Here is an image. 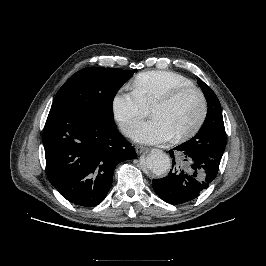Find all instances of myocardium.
Masks as SVG:
<instances>
[{
  "label": "myocardium",
  "instance_id": "1",
  "mask_svg": "<svg viewBox=\"0 0 266 266\" xmlns=\"http://www.w3.org/2000/svg\"><path fill=\"white\" fill-rule=\"evenodd\" d=\"M188 92H195L199 96L201 102V111L197 121L190 129L174 136L175 140L177 141L189 139L190 137L194 136L203 126L208 112V102L204 92L194 85L181 86L166 93L151 106L152 112L154 108L169 105Z\"/></svg>",
  "mask_w": 266,
  "mask_h": 266
}]
</instances>
